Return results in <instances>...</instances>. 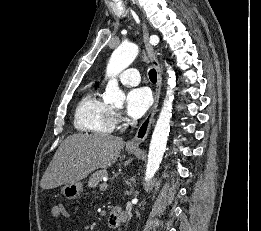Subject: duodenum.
<instances>
[{
  "label": "duodenum",
  "mask_w": 261,
  "mask_h": 231,
  "mask_svg": "<svg viewBox=\"0 0 261 231\" xmlns=\"http://www.w3.org/2000/svg\"><path fill=\"white\" fill-rule=\"evenodd\" d=\"M126 213L121 206H115L110 210L108 224L115 228L125 219Z\"/></svg>",
  "instance_id": "410a0bca"
}]
</instances>
